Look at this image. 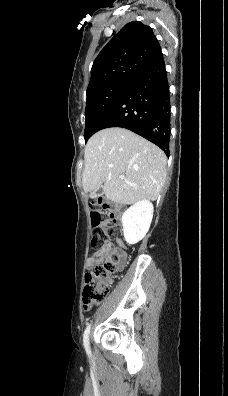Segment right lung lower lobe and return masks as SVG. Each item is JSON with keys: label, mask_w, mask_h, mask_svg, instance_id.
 Listing matches in <instances>:
<instances>
[{"label": "right lung lower lobe", "mask_w": 228, "mask_h": 396, "mask_svg": "<svg viewBox=\"0 0 228 396\" xmlns=\"http://www.w3.org/2000/svg\"><path fill=\"white\" fill-rule=\"evenodd\" d=\"M129 129L169 156L170 95L162 52L135 78L96 126Z\"/></svg>", "instance_id": "right-lung-lower-lobe-1"}]
</instances>
